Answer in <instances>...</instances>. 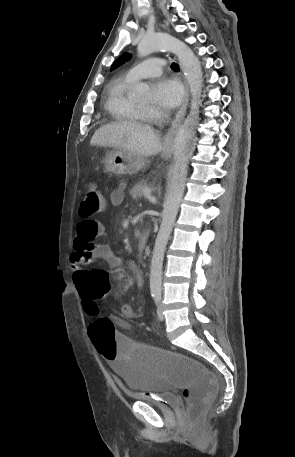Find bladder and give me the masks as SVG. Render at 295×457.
I'll return each mask as SVG.
<instances>
[{"label":"bladder","mask_w":295,"mask_h":457,"mask_svg":"<svg viewBox=\"0 0 295 457\" xmlns=\"http://www.w3.org/2000/svg\"><path fill=\"white\" fill-rule=\"evenodd\" d=\"M112 369L122 383V387L133 396L158 407L159 411H179L176 395L167 390L165 378L159 374H142L138 366H120L112 363Z\"/></svg>","instance_id":"obj_1"}]
</instances>
